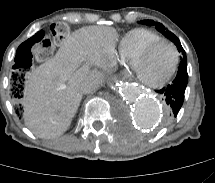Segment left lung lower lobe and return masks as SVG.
I'll list each match as a JSON object with an SVG mask.
<instances>
[{
    "label": "left lung lower lobe",
    "instance_id": "obj_1",
    "mask_svg": "<svg viewBox=\"0 0 215 183\" xmlns=\"http://www.w3.org/2000/svg\"><path fill=\"white\" fill-rule=\"evenodd\" d=\"M188 82L187 59L181 60L176 78L172 83L157 92L167 104V118L176 117L184 101V93Z\"/></svg>",
    "mask_w": 215,
    "mask_h": 183
}]
</instances>
